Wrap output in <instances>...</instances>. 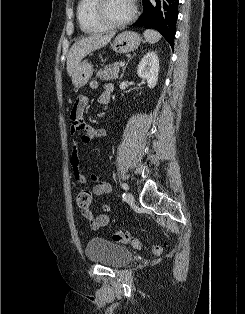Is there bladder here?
<instances>
[{
    "label": "bladder",
    "mask_w": 245,
    "mask_h": 314,
    "mask_svg": "<svg viewBox=\"0 0 245 314\" xmlns=\"http://www.w3.org/2000/svg\"><path fill=\"white\" fill-rule=\"evenodd\" d=\"M85 254L90 262L112 268H121L133 259V252L127 247L110 240L94 237L86 245Z\"/></svg>",
    "instance_id": "31cf9c89"
}]
</instances>
